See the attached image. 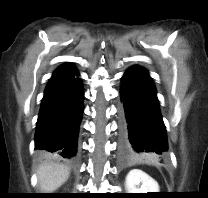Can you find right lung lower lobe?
Segmentation results:
<instances>
[{"mask_svg":"<svg viewBox=\"0 0 208 198\" xmlns=\"http://www.w3.org/2000/svg\"><path fill=\"white\" fill-rule=\"evenodd\" d=\"M78 75L73 65L63 64L47 84L35 134V148L43 154L72 159L77 153L84 98Z\"/></svg>","mask_w":208,"mask_h":198,"instance_id":"98d812e1","label":"right lung lower lobe"}]
</instances>
